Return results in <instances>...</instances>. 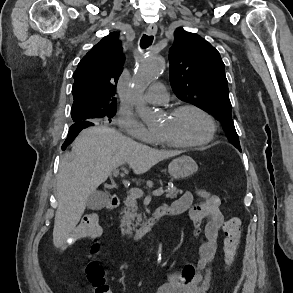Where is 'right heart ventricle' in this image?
Masks as SVG:
<instances>
[{"label": "right heart ventricle", "mask_w": 293, "mask_h": 293, "mask_svg": "<svg viewBox=\"0 0 293 293\" xmlns=\"http://www.w3.org/2000/svg\"><path fill=\"white\" fill-rule=\"evenodd\" d=\"M155 144H159V145H166L164 142H162L159 138H156V140L154 141Z\"/></svg>", "instance_id": "1"}]
</instances>
